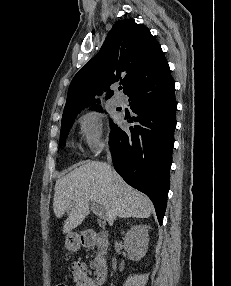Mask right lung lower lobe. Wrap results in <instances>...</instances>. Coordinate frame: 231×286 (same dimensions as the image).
<instances>
[{
	"instance_id": "obj_1",
	"label": "right lung lower lobe",
	"mask_w": 231,
	"mask_h": 286,
	"mask_svg": "<svg viewBox=\"0 0 231 286\" xmlns=\"http://www.w3.org/2000/svg\"><path fill=\"white\" fill-rule=\"evenodd\" d=\"M175 83L171 73L140 80L125 92L137 122L123 131L111 124L109 144L116 171L153 202L161 224L170 187L176 127Z\"/></svg>"
}]
</instances>
